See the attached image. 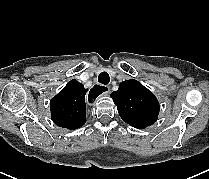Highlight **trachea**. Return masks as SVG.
Segmentation results:
<instances>
[{"label": "trachea", "mask_w": 209, "mask_h": 179, "mask_svg": "<svg viewBox=\"0 0 209 179\" xmlns=\"http://www.w3.org/2000/svg\"><path fill=\"white\" fill-rule=\"evenodd\" d=\"M98 81L103 84L107 85L110 82V76L107 72H102L98 76Z\"/></svg>", "instance_id": "3493384b"}]
</instances>
